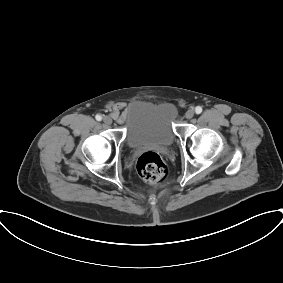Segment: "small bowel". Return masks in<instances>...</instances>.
I'll use <instances>...</instances> for the list:
<instances>
[{
  "label": "small bowel",
  "instance_id": "obj_1",
  "mask_svg": "<svg viewBox=\"0 0 283 283\" xmlns=\"http://www.w3.org/2000/svg\"><path fill=\"white\" fill-rule=\"evenodd\" d=\"M111 115L116 121L123 123L127 115V108L121 103L116 104L111 110Z\"/></svg>",
  "mask_w": 283,
  "mask_h": 283
}]
</instances>
